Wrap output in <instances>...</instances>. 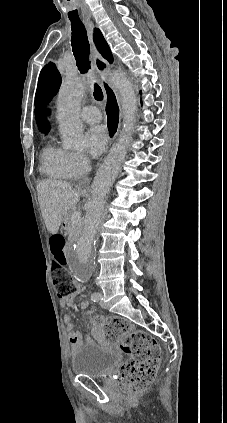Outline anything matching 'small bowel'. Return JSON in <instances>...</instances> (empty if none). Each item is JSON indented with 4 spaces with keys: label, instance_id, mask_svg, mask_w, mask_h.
<instances>
[{
    "label": "small bowel",
    "instance_id": "c3829d8e",
    "mask_svg": "<svg viewBox=\"0 0 227 423\" xmlns=\"http://www.w3.org/2000/svg\"><path fill=\"white\" fill-rule=\"evenodd\" d=\"M65 253H66V250H65ZM74 299H75V294L68 297H61L60 305L62 307L71 305ZM80 306L84 309L89 308V305L86 301H82L80 303ZM63 320H64L66 330L68 331L69 342L73 348H77L82 342V336L79 332L73 331L72 317L70 315L68 314L65 315ZM92 334L96 340H99L102 342L104 341V333L100 327H94L92 329Z\"/></svg>",
    "mask_w": 227,
    "mask_h": 423
}]
</instances>
